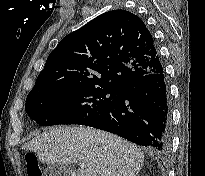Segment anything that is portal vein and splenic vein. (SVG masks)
Instances as JSON below:
<instances>
[{
  "label": "portal vein and splenic vein",
  "instance_id": "18ae733b",
  "mask_svg": "<svg viewBox=\"0 0 205 176\" xmlns=\"http://www.w3.org/2000/svg\"><path fill=\"white\" fill-rule=\"evenodd\" d=\"M80 168L84 169L86 167L85 163H79Z\"/></svg>",
  "mask_w": 205,
  "mask_h": 176
}]
</instances>
